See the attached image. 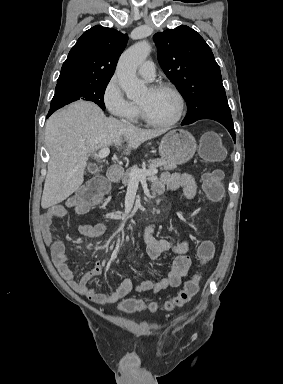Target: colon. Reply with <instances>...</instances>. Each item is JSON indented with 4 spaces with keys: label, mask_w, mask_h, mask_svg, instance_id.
<instances>
[{
    "label": "colon",
    "mask_w": 283,
    "mask_h": 384,
    "mask_svg": "<svg viewBox=\"0 0 283 384\" xmlns=\"http://www.w3.org/2000/svg\"><path fill=\"white\" fill-rule=\"evenodd\" d=\"M201 157L206 163H213L221 160L224 156V148L220 136L215 132H207L201 139ZM202 186L206 195L212 201H218L224 193L223 176L219 170H210L202 177ZM109 189L108 182L103 177H96L86 182L78 192L69 200V205L78 213H84L91 207L99 204ZM215 253L214 244L205 240L200 243L197 256L202 264L208 263ZM200 277L194 275L188 280L183 289L172 300L165 303L166 310H173L188 303L199 291ZM123 312L134 313L149 309L155 311V303L147 304L142 300L129 298L119 304Z\"/></svg>",
    "instance_id": "obj_1"
}]
</instances>
